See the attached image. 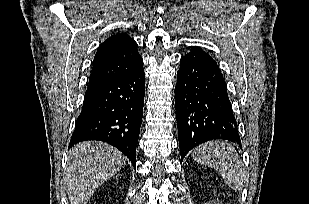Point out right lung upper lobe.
<instances>
[{"label":"right lung upper lobe","instance_id":"right-lung-upper-lobe-1","mask_svg":"<svg viewBox=\"0 0 309 204\" xmlns=\"http://www.w3.org/2000/svg\"><path fill=\"white\" fill-rule=\"evenodd\" d=\"M137 43L126 33L106 39L98 48L88 87H92L129 73L142 65Z\"/></svg>","mask_w":309,"mask_h":204}]
</instances>
